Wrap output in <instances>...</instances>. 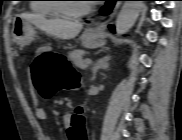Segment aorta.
Wrapping results in <instances>:
<instances>
[{
	"label": "aorta",
	"instance_id": "762f6f07",
	"mask_svg": "<svg viewBox=\"0 0 182 140\" xmlns=\"http://www.w3.org/2000/svg\"><path fill=\"white\" fill-rule=\"evenodd\" d=\"M143 1H124L115 23L116 35L127 33L138 18Z\"/></svg>",
	"mask_w": 182,
	"mask_h": 140
}]
</instances>
